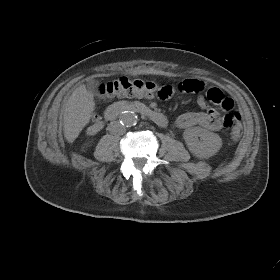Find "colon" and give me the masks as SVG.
Masks as SVG:
<instances>
[{
    "mask_svg": "<svg viewBox=\"0 0 280 280\" xmlns=\"http://www.w3.org/2000/svg\"><path fill=\"white\" fill-rule=\"evenodd\" d=\"M100 93L108 97H158L162 100L169 99L173 95V87L169 85L160 86L152 81L141 79L120 77L109 81L100 87ZM207 98L210 102L219 105L226 115L223 118V128L230 129L231 137L237 140L243 133V127L240 122V114L234 110V102L230 97L217 88H211L207 91Z\"/></svg>",
    "mask_w": 280,
    "mask_h": 280,
    "instance_id": "1",
    "label": "colon"
}]
</instances>
